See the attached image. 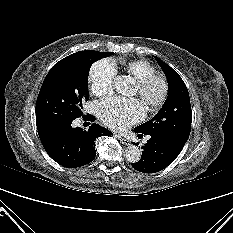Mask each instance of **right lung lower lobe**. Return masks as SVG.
<instances>
[{"instance_id": "98d812e1", "label": "right lung lower lobe", "mask_w": 233, "mask_h": 233, "mask_svg": "<svg viewBox=\"0 0 233 233\" xmlns=\"http://www.w3.org/2000/svg\"><path fill=\"white\" fill-rule=\"evenodd\" d=\"M83 119L94 122L95 117L88 114ZM72 122L38 129V134L47 154L58 164L75 168L86 165L96 156L95 140L99 136L112 133L93 123L87 131L71 126Z\"/></svg>"}]
</instances>
